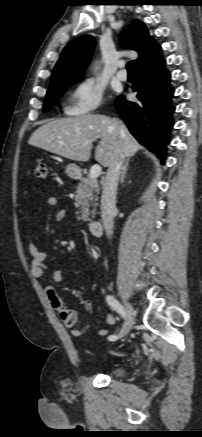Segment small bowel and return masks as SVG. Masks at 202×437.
Wrapping results in <instances>:
<instances>
[{
	"label": "small bowel",
	"mask_w": 202,
	"mask_h": 437,
	"mask_svg": "<svg viewBox=\"0 0 202 437\" xmlns=\"http://www.w3.org/2000/svg\"><path fill=\"white\" fill-rule=\"evenodd\" d=\"M58 203L59 201L56 197H49L47 199V204L50 207H56ZM65 217L66 211L64 210H59L55 215L56 220H62ZM28 250L31 255V275L37 279L41 278L44 274V270L47 268L49 256L47 253L39 250L33 242L28 244ZM52 278L55 283H60L63 279L62 272L60 270H54ZM44 292L51 307L59 313L63 324L67 328H73L71 331L72 335L75 337L81 336L88 328V326L74 328L79 321L81 312L67 308L53 286H45ZM105 320L108 325H114L116 322L114 315L110 313L106 315ZM108 333L109 329L107 327L100 328L98 331V334L101 336H106Z\"/></svg>",
	"instance_id": "small-bowel-1"
}]
</instances>
